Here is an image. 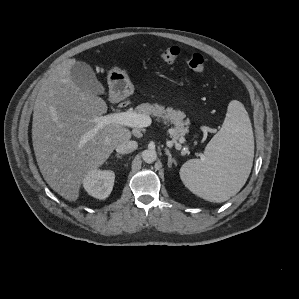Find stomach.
<instances>
[{"label":"stomach","mask_w":299,"mask_h":299,"mask_svg":"<svg viewBox=\"0 0 299 299\" xmlns=\"http://www.w3.org/2000/svg\"><path fill=\"white\" fill-rule=\"evenodd\" d=\"M107 79L110 93L115 98L123 99L132 94V83L127 73L121 68H112L108 73Z\"/></svg>","instance_id":"obj_1"}]
</instances>
